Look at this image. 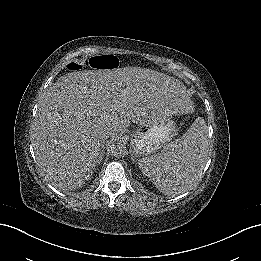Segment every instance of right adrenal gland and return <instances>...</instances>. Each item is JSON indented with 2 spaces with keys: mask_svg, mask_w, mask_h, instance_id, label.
Returning a JSON list of instances; mask_svg holds the SVG:
<instances>
[{
  "mask_svg": "<svg viewBox=\"0 0 261 261\" xmlns=\"http://www.w3.org/2000/svg\"><path fill=\"white\" fill-rule=\"evenodd\" d=\"M103 155H104V146H103Z\"/></svg>",
  "mask_w": 261,
  "mask_h": 261,
  "instance_id": "right-adrenal-gland-1",
  "label": "right adrenal gland"
}]
</instances>
